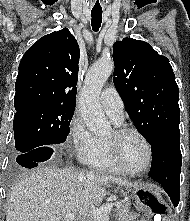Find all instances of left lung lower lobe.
I'll use <instances>...</instances> for the list:
<instances>
[{"instance_id":"1","label":"left lung lower lobe","mask_w":190,"mask_h":221,"mask_svg":"<svg viewBox=\"0 0 190 221\" xmlns=\"http://www.w3.org/2000/svg\"><path fill=\"white\" fill-rule=\"evenodd\" d=\"M152 164L149 177L161 184L174 206L180 199V172L182 156L180 133L160 136L151 144Z\"/></svg>"}]
</instances>
